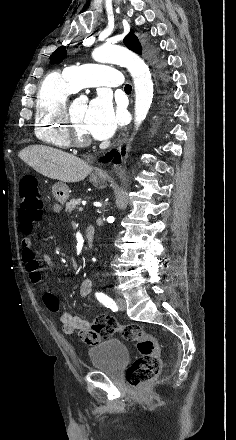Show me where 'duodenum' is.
I'll return each instance as SVG.
<instances>
[{
  "label": "duodenum",
  "instance_id": "obj_1",
  "mask_svg": "<svg viewBox=\"0 0 236 440\" xmlns=\"http://www.w3.org/2000/svg\"><path fill=\"white\" fill-rule=\"evenodd\" d=\"M95 238V229L93 226L89 225L85 228V239L88 247L93 245Z\"/></svg>",
  "mask_w": 236,
  "mask_h": 440
}]
</instances>
